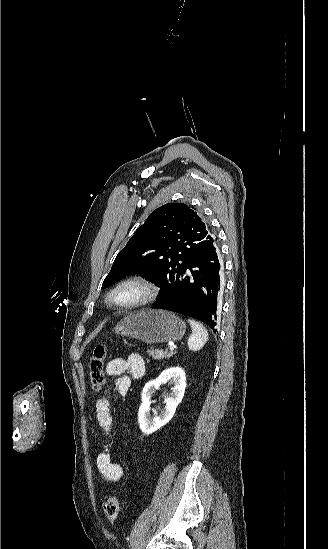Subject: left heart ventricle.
Listing matches in <instances>:
<instances>
[{"label":"left heart ventricle","instance_id":"1","mask_svg":"<svg viewBox=\"0 0 328 549\" xmlns=\"http://www.w3.org/2000/svg\"><path fill=\"white\" fill-rule=\"evenodd\" d=\"M136 292H137V290H136L135 287H129V288L124 290V292L122 293V297L133 296Z\"/></svg>","mask_w":328,"mask_h":549}]
</instances>
